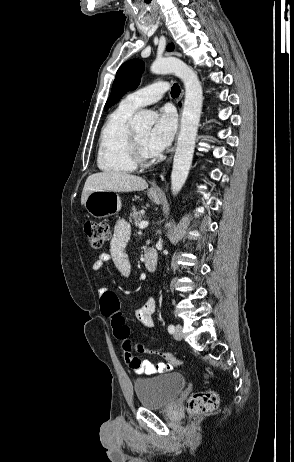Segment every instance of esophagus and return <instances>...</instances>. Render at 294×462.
Here are the masks:
<instances>
[{
  "label": "esophagus",
  "instance_id": "1",
  "mask_svg": "<svg viewBox=\"0 0 294 462\" xmlns=\"http://www.w3.org/2000/svg\"><path fill=\"white\" fill-rule=\"evenodd\" d=\"M181 96L183 97V92H182ZM170 161H171V157L168 159V162H170ZM164 174H165V171L163 172L162 178L164 177Z\"/></svg>",
  "mask_w": 294,
  "mask_h": 462
}]
</instances>
